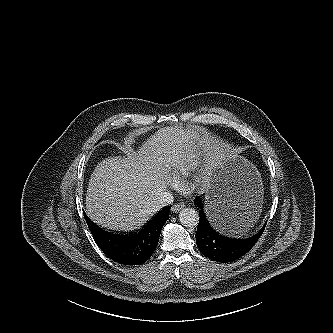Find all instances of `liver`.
Segmentation results:
<instances>
[{
    "label": "liver",
    "instance_id": "obj_1",
    "mask_svg": "<svg viewBox=\"0 0 333 333\" xmlns=\"http://www.w3.org/2000/svg\"><path fill=\"white\" fill-rule=\"evenodd\" d=\"M212 148L209 133L199 126L160 128L138 151L106 158L95 167L86 194L87 215L110 230L138 229L158 211L154 201L172 176L200 149ZM213 157L204 174H209Z\"/></svg>",
    "mask_w": 333,
    "mask_h": 333
}]
</instances>
